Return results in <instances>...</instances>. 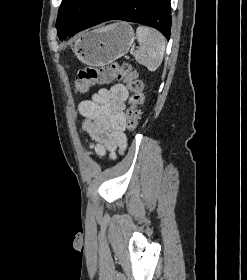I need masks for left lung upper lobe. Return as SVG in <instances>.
<instances>
[{"label":"left lung upper lobe","instance_id":"obj_1","mask_svg":"<svg viewBox=\"0 0 247 280\" xmlns=\"http://www.w3.org/2000/svg\"><path fill=\"white\" fill-rule=\"evenodd\" d=\"M101 1L62 0L56 22L59 39L62 40L65 33L77 29Z\"/></svg>","mask_w":247,"mask_h":280}]
</instances>
